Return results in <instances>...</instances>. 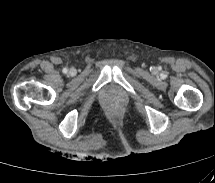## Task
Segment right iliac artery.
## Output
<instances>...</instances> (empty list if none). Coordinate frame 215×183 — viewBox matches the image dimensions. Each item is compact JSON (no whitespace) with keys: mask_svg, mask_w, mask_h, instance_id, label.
Listing matches in <instances>:
<instances>
[{"mask_svg":"<svg viewBox=\"0 0 215 183\" xmlns=\"http://www.w3.org/2000/svg\"><path fill=\"white\" fill-rule=\"evenodd\" d=\"M67 72H68L67 68H64L63 73H67Z\"/></svg>","mask_w":215,"mask_h":183,"instance_id":"obj_1","label":"right iliac artery"}]
</instances>
